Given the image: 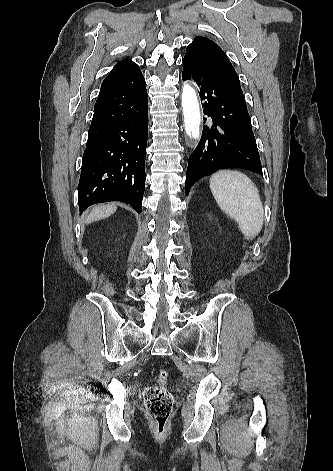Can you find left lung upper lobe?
Returning <instances> with one entry per match:
<instances>
[{
    "instance_id": "5c2ea615",
    "label": "left lung upper lobe",
    "mask_w": 333,
    "mask_h": 471,
    "mask_svg": "<svg viewBox=\"0 0 333 471\" xmlns=\"http://www.w3.org/2000/svg\"><path fill=\"white\" fill-rule=\"evenodd\" d=\"M185 55L196 57L208 64L246 104L239 77L223 50L216 43L205 37H196L188 45Z\"/></svg>"
}]
</instances>
